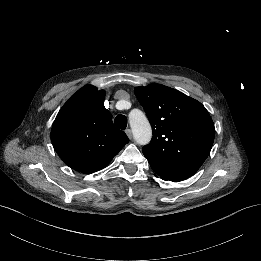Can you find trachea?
I'll return each instance as SVG.
<instances>
[{"instance_id": "3493384b", "label": "trachea", "mask_w": 261, "mask_h": 261, "mask_svg": "<svg viewBox=\"0 0 261 261\" xmlns=\"http://www.w3.org/2000/svg\"><path fill=\"white\" fill-rule=\"evenodd\" d=\"M114 124L116 127L124 130L127 127V118L125 115H117L114 120Z\"/></svg>"}]
</instances>
